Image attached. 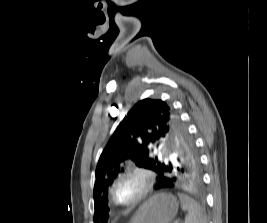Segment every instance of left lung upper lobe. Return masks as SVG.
<instances>
[{
	"label": "left lung upper lobe",
	"instance_id": "1",
	"mask_svg": "<svg viewBox=\"0 0 267 223\" xmlns=\"http://www.w3.org/2000/svg\"><path fill=\"white\" fill-rule=\"evenodd\" d=\"M156 143L169 148L171 158L154 155ZM128 159L156 173L201 171L194 142L173 108L162 100H141L118 125L99 158L93 191L95 223L97 218L107 219L108 188Z\"/></svg>",
	"mask_w": 267,
	"mask_h": 223
}]
</instances>
